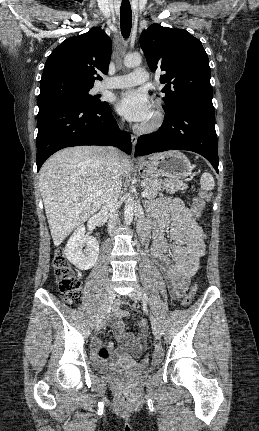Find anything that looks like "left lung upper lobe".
<instances>
[{"instance_id": "5c2ea615", "label": "left lung upper lobe", "mask_w": 259, "mask_h": 431, "mask_svg": "<svg viewBox=\"0 0 259 431\" xmlns=\"http://www.w3.org/2000/svg\"><path fill=\"white\" fill-rule=\"evenodd\" d=\"M140 45L151 70L164 71L165 112L186 104L214 109L211 69L200 40L186 30L153 24L142 32Z\"/></svg>"}]
</instances>
